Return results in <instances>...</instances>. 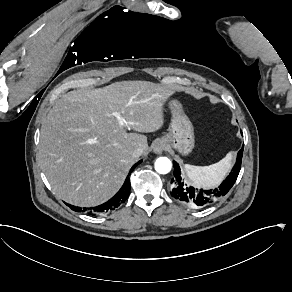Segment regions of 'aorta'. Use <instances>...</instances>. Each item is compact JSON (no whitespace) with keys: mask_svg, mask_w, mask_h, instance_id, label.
Masks as SVG:
<instances>
[{"mask_svg":"<svg viewBox=\"0 0 292 292\" xmlns=\"http://www.w3.org/2000/svg\"><path fill=\"white\" fill-rule=\"evenodd\" d=\"M172 168V163L167 157H159L155 162V170L160 174H167Z\"/></svg>","mask_w":292,"mask_h":292,"instance_id":"762f6f07","label":"aorta"}]
</instances>
